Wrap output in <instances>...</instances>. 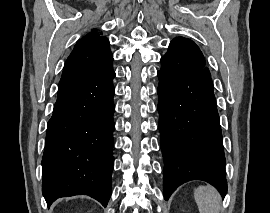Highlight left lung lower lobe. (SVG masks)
I'll list each match as a JSON object with an SVG mask.
<instances>
[{"instance_id": "0a47b994", "label": "left lung lower lobe", "mask_w": 270, "mask_h": 213, "mask_svg": "<svg viewBox=\"0 0 270 213\" xmlns=\"http://www.w3.org/2000/svg\"><path fill=\"white\" fill-rule=\"evenodd\" d=\"M160 145L164 158V198L190 180L227 193L222 132L210 73L158 71Z\"/></svg>"}]
</instances>
